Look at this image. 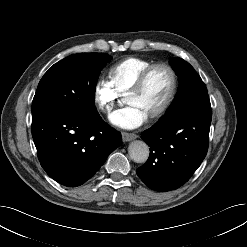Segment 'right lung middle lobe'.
<instances>
[{
  "label": "right lung middle lobe",
  "mask_w": 247,
  "mask_h": 247,
  "mask_svg": "<svg viewBox=\"0 0 247 247\" xmlns=\"http://www.w3.org/2000/svg\"><path fill=\"white\" fill-rule=\"evenodd\" d=\"M110 58L104 53H78L54 64L39 82L32 102V117L62 107L85 116L96 115V82Z\"/></svg>",
  "instance_id": "1"
}]
</instances>
